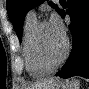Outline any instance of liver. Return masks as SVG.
<instances>
[{"label":"liver","instance_id":"6515ba94","mask_svg":"<svg viewBox=\"0 0 89 89\" xmlns=\"http://www.w3.org/2000/svg\"><path fill=\"white\" fill-rule=\"evenodd\" d=\"M60 81L58 78H51L31 84L28 89H50L54 83Z\"/></svg>","mask_w":89,"mask_h":89}]
</instances>
